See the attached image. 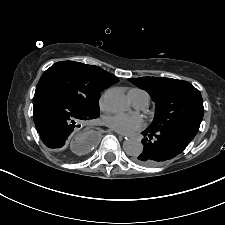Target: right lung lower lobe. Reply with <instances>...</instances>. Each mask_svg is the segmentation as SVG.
<instances>
[{
    "instance_id": "obj_1",
    "label": "right lung lower lobe",
    "mask_w": 225,
    "mask_h": 225,
    "mask_svg": "<svg viewBox=\"0 0 225 225\" xmlns=\"http://www.w3.org/2000/svg\"><path fill=\"white\" fill-rule=\"evenodd\" d=\"M99 117V116H98ZM63 94L47 85H37L33 99V120L43 143L50 149L61 151L68 137L80 123L95 119ZM90 139L88 146L94 145Z\"/></svg>"
}]
</instances>
